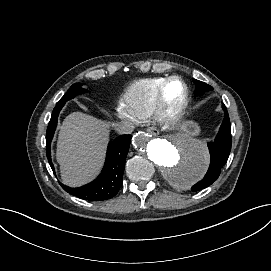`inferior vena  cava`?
Returning a JSON list of instances; mask_svg holds the SVG:
<instances>
[{
    "label": "inferior vena cava",
    "mask_w": 271,
    "mask_h": 271,
    "mask_svg": "<svg viewBox=\"0 0 271 271\" xmlns=\"http://www.w3.org/2000/svg\"><path fill=\"white\" fill-rule=\"evenodd\" d=\"M132 129V124L129 122H120L116 127V131L120 135L131 134Z\"/></svg>",
    "instance_id": "obj_1"
}]
</instances>
